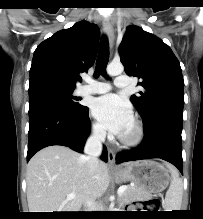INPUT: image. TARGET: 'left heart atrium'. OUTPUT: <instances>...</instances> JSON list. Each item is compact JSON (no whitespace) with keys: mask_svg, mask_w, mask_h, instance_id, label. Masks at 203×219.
I'll list each match as a JSON object with an SVG mask.
<instances>
[{"mask_svg":"<svg viewBox=\"0 0 203 219\" xmlns=\"http://www.w3.org/2000/svg\"><path fill=\"white\" fill-rule=\"evenodd\" d=\"M92 114L105 129L116 135H121L133 120L129 103L116 94L96 98L92 104Z\"/></svg>","mask_w":203,"mask_h":219,"instance_id":"left-heart-atrium-1","label":"left heart atrium"}]
</instances>
